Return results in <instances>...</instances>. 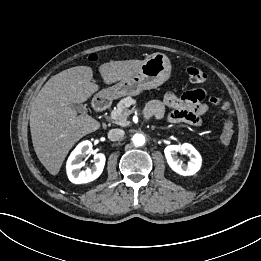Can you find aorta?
<instances>
[{
    "label": "aorta",
    "instance_id": "obj_1",
    "mask_svg": "<svg viewBox=\"0 0 261 261\" xmlns=\"http://www.w3.org/2000/svg\"><path fill=\"white\" fill-rule=\"evenodd\" d=\"M132 141L137 146H142L145 143V136L143 134L137 133L133 136Z\"/></svg>",
    "mask_w": 261,
    "mask_h": 261
}]
</instances>
